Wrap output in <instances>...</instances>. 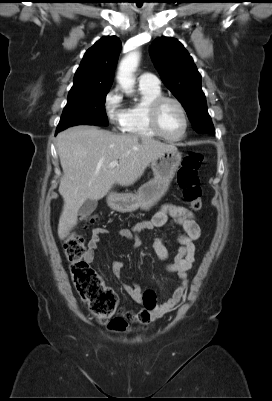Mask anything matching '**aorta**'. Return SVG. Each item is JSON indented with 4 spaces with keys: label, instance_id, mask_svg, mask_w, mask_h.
Listing matches in <instances>:
<instances>
[{
    "label": "aorta",
    "instance_id": "1",
    "mask_svg": "<svg viewBox=\"0 0 272 401\" xmlns=\"http://www.w3.org/2000/svg\"><path fill=\"white\" fill-rule=\"evenodd\" d=\"M140 54L138 51H132L121 61L117 73V81L120 84L122 91L127 95L133 93L135 72L139 63Z\"/></svg>",
    "mask_w": 272,
    "mask_h": 401
}]
</instances>
